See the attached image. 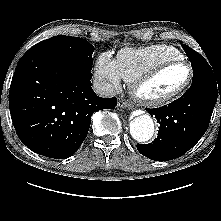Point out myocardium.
<instances>
[{
	"label": "myocardium",
	"mask_w": 221,
	"mask_h": 221,
	"mask_svg": "<svg viewBox=\"0 0 221 221\" xmlns=\"http://www.w3.org/2000/svg\"><path fill=\"white\" fill-rule=\"evenodd\" d=\"M176 65H184L188 68V71H189L187 80L181 87H179L178 89H176L175 91L169 94L159 96V97L148 96L144 92V88L148 84H150L152 81H154L162 72ZM193 77H194V70H193L192 65L188 61L184 59L168 60L155 66L153 69H151L150 71H148L147 73H145L144 75L136 79L133 82L132 87H131L132 95L138 102H140L141 104L145 106H148V107L165 106L173 102L174 100L179 98L181 95H183L184 92H186V90L192 84Z\"/></svg>",
	"instance_id": "f54148a6"
}]
</instances>
